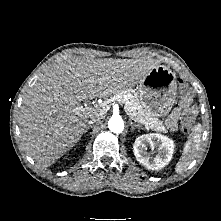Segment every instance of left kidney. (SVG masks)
Instances as JSON below:
<instances>
[{
    "label": "left kidney",
    "mask_w": 221,
    "mask_h": 221,
    "mask_svg": "<svg viewBox=\"0 0 221 221\" xmlns=\"http://www.w3.org/2000/svg\"><path fill=\"white\" fill-rule=\"evenodd\" d=\"M157 148L158 154L152 158L148 147ZM133 151L136 159L150 170H159L168 165L174 152V141L167 136L150 133L136 138Z\"/></svg>",
    "instance_id": "obj_1"
}]
</instances>
